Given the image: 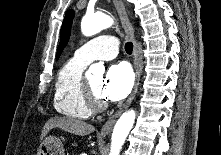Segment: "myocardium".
I'll use <instances>...</instances> for the list:
<instances>
[{
    "label": "myocardium",
    "instance_id": "myocardium-1",
    "mask_svg": "<svg viewBox=\"0 0 221 155\" xmlns=\"http://www.w3.org/2000/svg\"><path fill=\"white\" fill-rule=\"evenodd\" d=\"M82 94L87 108L91 112H101L107 107L105 100L99 99L92 91L87 80L82 82Z\"/></svg>",
    "mask_w": 221,
    "mask_h": 155
}]
</instances>
